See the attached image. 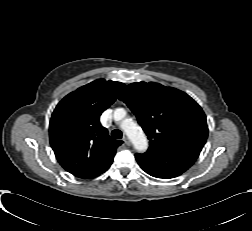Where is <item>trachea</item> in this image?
I'll list each match as a JSON object with an SVG mask.
<instances>
[{
	"label": "trachea",
	"instance_id": "1",
	"mask_svg": "<svg viewBox=\"0 0 252 231\" xmlns=\"http://www.w3.org/2000/svg\"><path fill=\"white\" fill-rule=\"evenodd\" d=\"M111 135H112V138H114V139H121L122 138V132L118 129L113 130Z\"/></svg>",
	"mask_w": 252,
	"mask_h": 231
}]
</instances>
